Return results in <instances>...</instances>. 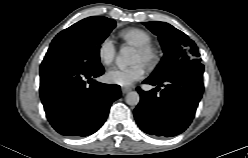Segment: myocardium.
Masks as SVG:
<instances>
[{"label":"myocardium","mask_w":248,"mask_h":158,"mask_svg":"<svg viewBox=\"0 0 248 158\" xmlns=\"http://www.w3.org/2000/svg\"><path fill=\"white\" fill-rule=\"evenodd\" d=\"M136 50L144 57V64L148 68L155 67L160 61L159 50L151 44L139 46Z\"/></svg>","instance_id":"obj_1"}]
</instances>
